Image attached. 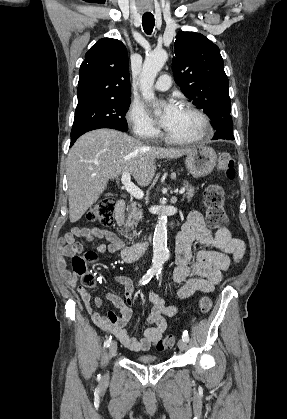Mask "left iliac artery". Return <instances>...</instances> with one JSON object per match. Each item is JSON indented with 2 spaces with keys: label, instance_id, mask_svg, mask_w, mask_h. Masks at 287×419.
Segmentation results:
<instances>
[{
  "label": "left iliac artery",
  "instance_id": "1",
  "mask_svg": "<svg viewBox=\"0 0 287 419\" xmlns=\"http://www.w3.org/2000/svg\"><path fill=\"white\" fill-rule=\"evenodd\" d=\"M160 277H161V270L157 271V279L159 280ZM182 339H184L186 342L189 341V336H188V332L187 331H184L183 332Z\"/></svg>",
  "mask_w": 287,
  "mask_h": 419
}]
</instances>
